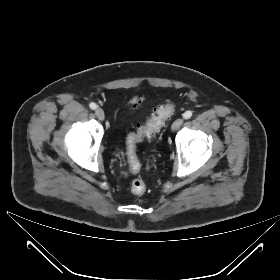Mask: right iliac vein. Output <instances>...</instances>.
Listing matches in <instances>:
<instances>
[{"label":"right iliac vein","instance_id":"right-iliac-vein-1","mask_svg":"<svg viewBox=\"0 0 280 280\" xmlns=\"http://www.w3.org/2000/svg\"><path fill=\"white\" fill-rule=\"evenodd\" d=\"M95 115H96V117L99 119V120H104V118H105V114H104V111H103V109H101V108H97L96 110H95Z\"/></svg>","mask_w":280,"mask_h":280}]
</instances>
